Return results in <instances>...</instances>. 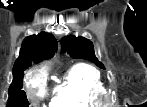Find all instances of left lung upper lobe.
Here are the masks:
<instances>
[{"mask_svg":"<svg viewBox=\"0 0 147 107\" xmlns=\"http://www.w3.org/2000/svg\"><path fill=\"white\" fill-rule=\"evenodd\" d=\"M61 45L62 50L67 51L72 58L87 59L104 69V65L96 58L93 44L89 39L69 35L61 39Z\"/></svg>","mask_w":147,"mask_h":107,"instance_id":"obj_1","label":"left lung upper lobe"}]
</instances>
